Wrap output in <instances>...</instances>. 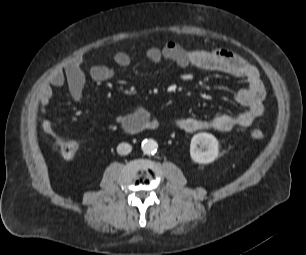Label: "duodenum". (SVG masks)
I'll return each mask as SVG.
<instances>
[{
  "label": "duodenum",
  "mask_w": 306,
  "mask_h": 255,
  "mask_svg": "<svg viewBox=\"0 0 306 255\" xmlns=\"http://www.w3.org/2000/svg\"><path fill=\"white\" fill-rule=\"evenodd\" d=\"M157 128V123L155 121H146L141 123H136L127 128L129 134H134L142 129L155 130Z\"/></svg>",
  "instance_id": "1"
}]
</instances>
